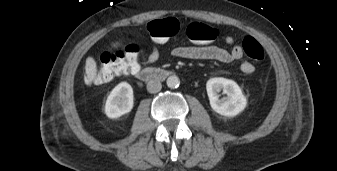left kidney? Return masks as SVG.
Returning <instances> with one entry per match:
<instances>
[{
    "label": "left kidney",
    "mask_w": 337,
    "mask_h": 171,
    "mask_svg": "<svg viewBox=\"0 0 337 171\" xmlns=\"http://www.w3.org/2000/svg\"><path fill=\"white\" fill-rule=\"evenodd\" d=\"M207 94L211 108L218 114L233 117L242 112L246 105L247 99L243 95L239 85L230 79L223 77L211 78L206 83ZM223 90L227 97L219 99L218 92Z\"/></svg>",
    "instance_id": "1"
}]
</instances>
